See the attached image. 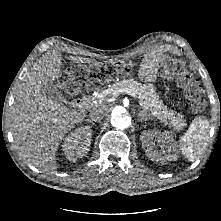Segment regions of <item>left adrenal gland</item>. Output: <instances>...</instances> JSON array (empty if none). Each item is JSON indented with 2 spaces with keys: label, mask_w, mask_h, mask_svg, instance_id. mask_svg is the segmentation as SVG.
<instances>
[{
  "label": "left adrenal gland",
  "mask_w": 221,
  "mask_h": 221,
  "mask_svg": "<svg viewBox=\"0 0 221 221\" xmlns=\"http://www.w3.org/2000/svg\"><path fill=\"white\" fill-rule=\"evenodd\" d=\"M138 116L140 117V121L141 122H144V121H148L149 119H150V117L148 116V115H146V114H144V113H142V112H140L139 114H138Z\"/></svg>",
  "instance_id": "obj_1"
}]
</instances>
